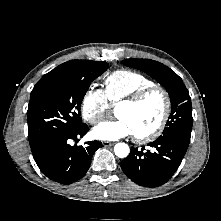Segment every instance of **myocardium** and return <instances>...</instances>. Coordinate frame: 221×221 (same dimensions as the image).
<instances>
[{
	"label": "myocardium",
	"instance_id": "obj_1",
	"mask_svg": "<svg viewBox=\"0 0 221 221\" xmlns=\"http://www.w3.org/2000/svg\"><path fill=\"white\" fill-rule=\"evenodd\" d=\"M154 93H159L162 95L163 100H164V109H163V113L161 116V119L159 121V123L157 124V126L151 130L150 132L146 133V134H134V139L136 142L138 143H149L154 141L155 139H157L162 132L164 131L167 121L169 119L170 113H171V97L170 94L168 93V91L159 85H152L150 87L144 88L138 92H136L135 94L122 99L121 101H119L116 104L117 106H122V105H128V106H138L140 105L145 99H147L150 95L154 94Z\"/></svg>",
	"mask_w": 221,
	"mask_h": 221
}]
</instances>
